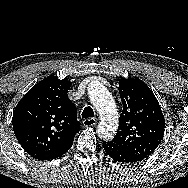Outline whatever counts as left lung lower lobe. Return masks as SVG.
Segmentation results:
<instances>
[{
  "instance_id": "1",
  "label": "left lung lower lobe",
  "mask_w": 188,
  "mask_h": 188,
  "mask_svg": "<svg viewBox=\"0 0 188 188\" xmlns=\"http://www.w3.org/2000/svg\"><path fill=\"white\" fill-rule=\"evenodd\" d=\"M103 148L106 154L111 157L114 161L122 162V163H133L144 160L138 154L122 148L117 144L111 142H103Z\"/></svg>"
}]
</instances>
